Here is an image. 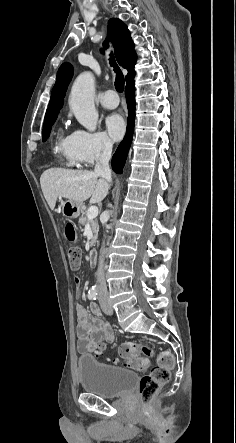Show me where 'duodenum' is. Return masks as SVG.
Returning a JSON list of instances; mask_svg holds the SVG:
<instances>
[{
  "label": "duodenum",
  "instance_id": "410a0bca",
  "mask_svg": "<svg viewBox=\"0 0 236 443\" xmlns=\"http://www.w3.org/2000/svg\"><path fill=\"white\" fill-rule=\"evenodd\" d=\"M89 262L91 265H94L96 263V254L95 253H91L89 255Z\"/></svg>",
  "mask_w": 236,
  "mask_h": 443
}]
</instances>
